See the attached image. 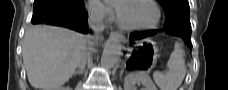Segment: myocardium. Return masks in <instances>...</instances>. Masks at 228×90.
<instances>
[{"label": "myocardium", "instance_id": "f54148a6", "mask_svg": "<svg viewBox=\"0 0 228 90\" xmlns=\"http://www.w3.org/2000/svg\"><path fill=\"white\" fill-rule=\"evenodd\" d=\"M137 0H124V1H120L119 5H118V19L119 22L121 24L122 27H124L125 29L128 30H134V31H149V30H154L156 29L161 21V11L160 8L158 6V4L156 3V1L154 0H145L147 2H149L155 9L156 11V19L155 22L152 25L149 26H134V25H130L128 24L125 19L123 18L122 12H121V6L127 3H131Z\"/></svg>", "mask_w": 228, "mask_h": 90}]
</instances>
